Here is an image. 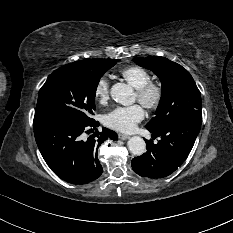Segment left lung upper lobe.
Segmentation results:
<instances>
[{
    "instance_id": "1",
    "label": "left lung upper lobe",
    "mask_w": 233,
    "mask_h": 233,
    "mask_svg": "<svg viewBox=\"0 0 233 233\" xmlns=\"http://www.w3.org/2000/svg\"><path fill=\"white\" fill-rule=\"evenodd\" d=\"M139 66L153 71L162 83L161 100L156 116L146 128L159 131L174 120L201 110V94L190 73L181 65L159 56L134 58Z\"/></svg>"
}]
</instances>
